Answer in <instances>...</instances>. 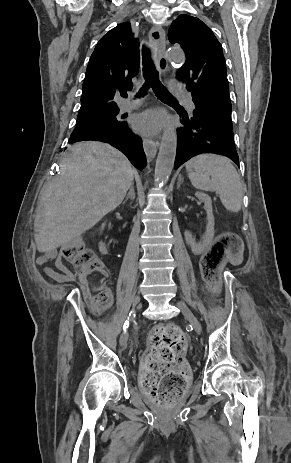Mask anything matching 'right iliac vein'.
I'll return each mask as SVG.
<instances>
[{"label":"right iliac vein","instance_id":"right-iliac-vein-1","mask_svg":"<svg viewBox=\"0 0 291 463\" xmlns=\"http://www.w3.org/2000/svg\"><path fill=\"white\" fill-rule=\"evenodd\" d=\"M140 302V296L137 294L135 297H134V300H133V303H132V306L133 307H136L138 305V303ZM128 337H129V334L127 331H125L121 337H120V345L122 347H125L127 345V342H128Z\"/></svg>","mask_w":291,"mask_h":463}]
</instances>
